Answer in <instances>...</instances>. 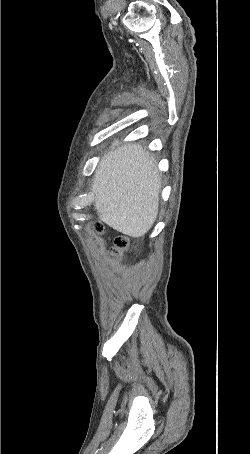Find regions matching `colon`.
<instances>
[{
  "label": "colon",
  "mask_w": 250,
  "mask_h": 454,
  "mask_svg": "<svg viewBox=\"0 0 250 454\" xmlns=\"http://www.w3.org/2000/svg\"><path fill=\"white\" fill-rule=\"evenodd\" d=\"M97 230L102 231V227L98 225ZM130 248V242L125 237H118L114 241V246L112 248L113 255H119L127 251Z\"/></svg>",
  "instance_id": "colon-1"
}]
</instances>
